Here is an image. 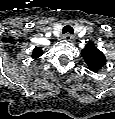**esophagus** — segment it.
I'll return each instance as SVG.
<instances>
[{"label": "esophagus", "instance_id": "obj_1", "mask_svg": "<svg viewBox=\"0 0 115 119\" xmlns=\"http://www.w3.org/2000/svg\"><path fill=\"white\" fill-rule=\"evenodd\" d=\"M63 38L65 39V41H68V42H71L75 39V37L71 34H65Z\"/></svg>", "mask_w": 115, "mask_h": 119}]
</instances>
